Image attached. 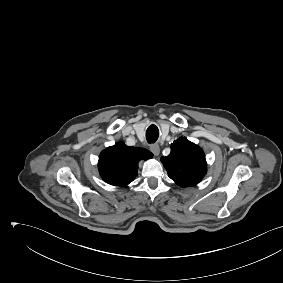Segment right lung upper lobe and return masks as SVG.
Returning a JSON list of instances; mask_svg holds the SVG:
<instances>
[{
    "mask_svg": "<svg viewBox=\"0 0 283 283\" xmlns=\"http://www.w3.org/2000/svg\"><path fill=\"white\" fill-rule=\"evenodd\" d=\"M152 157L153 154L147 149L129 147L120 141L101 152L99 173L106 183L124 187L137 176L139 161Z\"/></svg>",
    "mask_w": 283,
    "mask_h": 283,
    "instance_id": "cb5924a9",
    "label": "right lung upper lobe"
}]
</instances>
